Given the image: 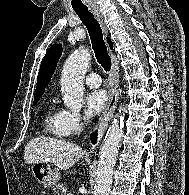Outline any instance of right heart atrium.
Wrapping results in <instances>:
<instances>
[{"label":"right heart atrium","instance_id":"right-heart-atrium-1","mask_svg":"<svg viewBox=\"0 0 189 195\" xmlns=\"http://www.w3.org/2000/svg\"><path fill=\"white\" fill-rule=\"evenodd\" d=\"M85 118L82 114L75 111H64V131L66 134L77 133L83 125Z\"/></svg>","mask_w":189,"mask_h":195}]
</instances>
